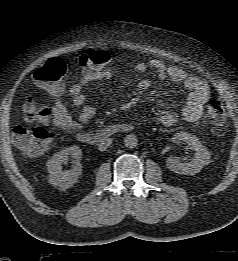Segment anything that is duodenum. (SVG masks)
Wrapping results in <instances>:
<instances>
[{"mask_svg": "<svg viewBox=\"0 0 238 261\" xmlns=\"http://www.w3.org/2000/svg\"><path fill=\"white\" fill-rule=\"evenodd\" d=\"M133 126L129 123H118L108 125L96 131L79 132L76 139L86 145L93 146L101 141L107 140L118 133H127L132 131Z\"/></svg>", "mask_w": 238, "mask_h": 261, "instance_id": "410a0bca", "label": "duodenum"}]
</instances>
